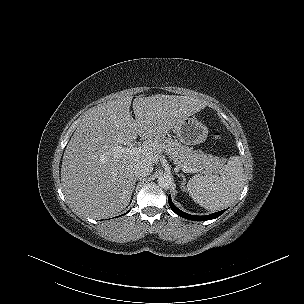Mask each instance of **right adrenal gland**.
<instances>
[{
    "mask_svg": "<svg viewBox=\"0 0 304 304\" xmlns=\"http://www.w3.org/2000/svg\"><path fill=\"white\" fill-rule=\"evenodd\" d=\"M136 181H137V179L135 178V180H134V185H135Z\"/></svg>",
    "mask_w": 304,
    "mask_h": 304,
    "instance_id": "1",
    "label": "right adrenal gland"
}]
</instances>
